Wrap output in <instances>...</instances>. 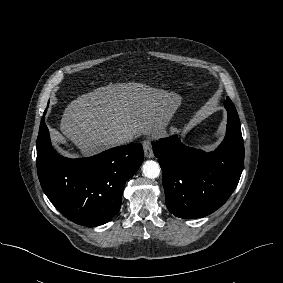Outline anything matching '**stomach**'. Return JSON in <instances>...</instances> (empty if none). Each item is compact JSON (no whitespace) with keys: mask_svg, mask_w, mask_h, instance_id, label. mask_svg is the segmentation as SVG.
Segmentation results:
<instances>
[{"mask_svg":"<svg viewBox=\"0 0 283 283\" xmlns=\"http://www.w3.org/2000/svg\"><path fill=\"white\" fill-rule=\"evenodd\" d=\"M176 131V128H174L173 126L170 127V132L173 133Z\"/></svg>","mask_w":283,"mask_h":283,"instance_id":"stomach-1","label":"stomach"}]
</instances>
